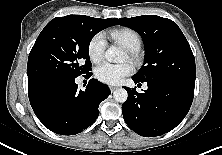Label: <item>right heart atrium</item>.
<instances>
[{
	"label": "right heart atrium",
	"mask_w": 222,
	"mask_h": 155,
	"mask_svg": "<svg viewBox=\"0 0 222 155\" xmlns=\"http://www.w3.org/2000/svg\"><path fill=\"white\" fill-rule=\"evenodd\" d=\"M107 47V41L102 33L95 34L88 45V54L92 62L98 63L102 60Z\"/></svg>",
	"instance_id": "obj_1"
}]
</instances>
